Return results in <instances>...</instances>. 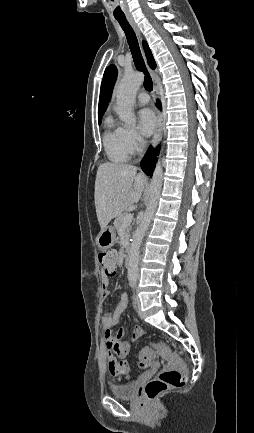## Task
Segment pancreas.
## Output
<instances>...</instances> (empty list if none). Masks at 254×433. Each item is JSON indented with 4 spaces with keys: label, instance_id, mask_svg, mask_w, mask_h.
I'll use <instances>...</instances> for the list:
<instances>
[{
    "label": "pancreas",
    "instance_id": "obj_1",
    "mask_svg": "<svg viewBox=\"0 0 254 433\" xmlns=\"http://www.w3.org/2000/svg\"><path fill=\"white\" fill-rule=\"evenodd\" d=\"M129 213L128 212H122V213H120L117 217H116V219H115V221H114V227H115V229L118 231V230H120L121 228H126V237H128L129 236V232H130V230H131V223H129V224H127V225H124L123 224V219L125 218V216H127Z\"/></svg>",
    "mask_w": 254,
    "mask_h": 433
}]
</instances>
